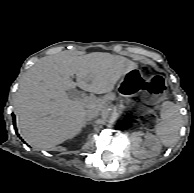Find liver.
<instances>
[{"instance_id":"6515ba94","label":"liver","mask_w":194,"mask_h":193,"mask_svg":"<svg viewBox=\"0 0 194 193\" xmlns=\"http://www.w3.org/2000/svg\"><path fill=\"white\" fill-rule=\"evenodd\" d=\"M131 60L106 52L82 56L61 52L41 58L22 76L14 105L18 131L32 147L53 151L80 133L86 110H100L117 82L137 69ZM76 75L77 82L72 80ZM80 89L104 94L100 98H74L67 91Z\"/></svg>"}]
</instances>
